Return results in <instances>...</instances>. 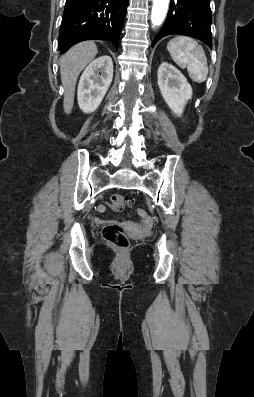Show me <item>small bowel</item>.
Segmentation results:
<instances>
[{
    "label": "small bowel",
    "instance_id": "1",
    "mask_svg": "<svg viewBox=\"0 0 254 397\" xmlns=\"http://www.w3.org/2000/svg\"><path fill=\"white\" fill-rule=\"evenodd\" d=\"M97 210H98V212L103 213V212L106 211V206L105 205H99L97 207ZM139 214H140V216L142 218V223H143L144 227H148L149 226V220H148L147 216L143 212H140ZM94 222L97 225H104V224L112 223V221L104 220V219H101V218H95Z\"/></svg>",
    "mask_w": 254,
    "mask_h": 397
}]
</instances>
